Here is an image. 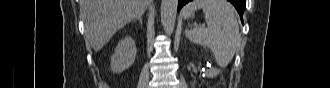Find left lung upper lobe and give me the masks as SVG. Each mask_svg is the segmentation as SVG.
Segmentation results:
<instances>
[{"mask_svg": "<svg viewBox=\"0 0 330 88\" xmlns=\"http://www.w3.org/2000/svg\"><path fill=\"white\" fill-rule=\"evenodd\" d=\"M242 7H243V9H245V7H246V3H245V1H244V3L242 4Z\"/></svg>", "mask_w": 330, "mask_h": 88, "instance_id": "obj_1", "label": "left lung upper lobe"}]
</instances>
